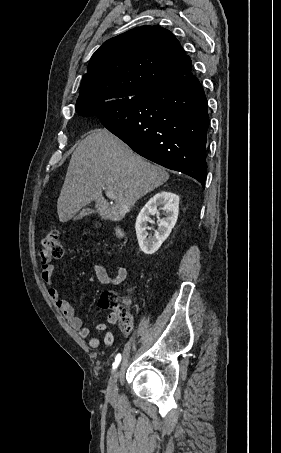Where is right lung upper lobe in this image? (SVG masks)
<instances>
[{
    "label": "right lung upper lobe",
    "instance_id": "right-lung-upper-lobe-1",
    "mask_svg": "<svg viewBox=\"0 0 281 453\" xmlns=\"http://www.w3.org/2000/svg\"><path fill=\"white\" fill-rule=\"evenodd\" d=\"M191 70L190 57L169 30L136 27L109 39L93 54L81 81L76 112L129 101Z\"/></svg>",
    "mask_w": 281,
    "mask_h": 453
}]
</instances>
